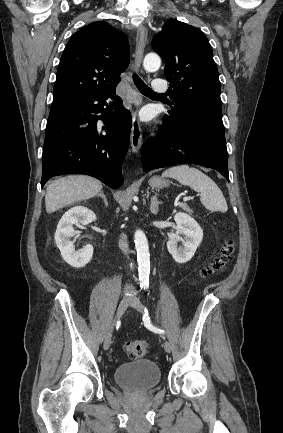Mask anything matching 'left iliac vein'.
<instances>
[{"instance_id": "left-iliac-vein-1", "label": "left iliac vein", "mask_w": 283, "mask_h": 433, "mask_svg": "<svg viewBox=\"0 0 283 433\" xmlns=\"http://www.w3.org/2000/svg\"><path fill=\"white\" fill-rule=\"evenodd\" d=\"M130 305L133 308H135L138 312H142L143 313V311H144V305L142 304V302L140 301L139 298L133 297L131 299ZM163 346H164V349H165V351L167 353L171 352L172 347H171V344H170L169 341H165L164 344H163Z\"/></svg>"}]
</instances>
